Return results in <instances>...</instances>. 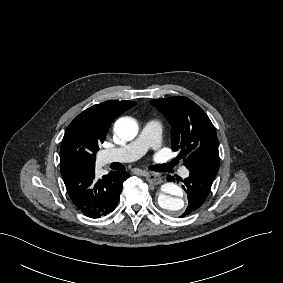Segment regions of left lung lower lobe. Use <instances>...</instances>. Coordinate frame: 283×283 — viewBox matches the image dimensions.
I'll return each mask as SVG.
<instances>
[{"label": "left lung lower lobe", "mask_w": 283, "mask_h": 283, "mask_svg": "<svg viewBox=\"0 0 283 283\" xmlns=\"http://www.w3.org/2000/svg\"><path fill=\"white\" fill-rule=\"evenodd\" d=\"M189 170V177L182 180L183 189L188 194V206L180 218L196 211L205 202L218 172V168L211 166H196Z\"/></svg>", "instance_id": "0a47b994"}]
</instances>
